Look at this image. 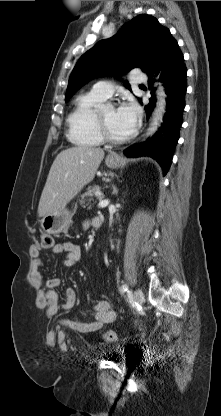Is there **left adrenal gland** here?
Listing matches in <instances>:
<instances>
[{
  "label": "left adrenal gland",
  "instance_id": "obj_1",
  "mask_svg": "<svg viewBox=\"0 0 221 416\" xmlns=\"http://www.w3.org/2000/svg\"><path fill=\"white\" fill-rule=\"evenodd\" d=\"M113 194L117 195L118 194V190L115 186H113Z\"/></svg>",
  "mask_w": 221,
  "mask_h": 416
}]
</instances>
